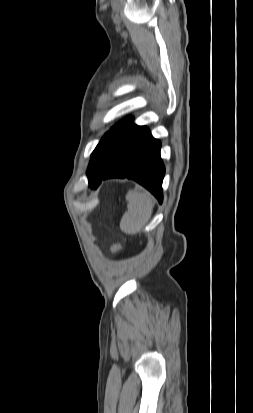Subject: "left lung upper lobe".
Listing matches in <instances>:
<instances>
[{
    "instance_id": "obj_1",
    "label": "left lung upper lobe",
    "mask_w": 253,
    "mask_h": 413,
    "mask_svg": "<svg viewBox=\"0 0 253 413\" xmlns=\"http://www.w3.org/2000/svg\"><path fill=\"white\" fill-rule=\"evenodd\" d=\"M127 121H131V119L128 118L116 124L101 139V141L99 142V144L97 145L93 153L91 154V159H90V163H89L88 170H87L88 176L95 173L113 153L123 132V129L121 126L124 122H127Z\"/></svg>"
}]
</instances>
